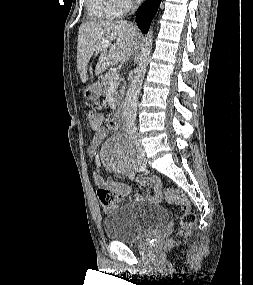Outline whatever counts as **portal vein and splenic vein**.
<instances>
[{"instance_id": "18ae733b", "label": "portal vein and splenic vein", "mask_w": 253, "mask_h": 285, "mask_svg": "<svg viewBox=\"0 0 253 285\" xmlns=\"http://www.w3.org/2000/svg\"><path fill=\"white\" fill-rule=\"evenodd\" d=\"M109 45H102V46H99L97 49L98 50H102L104 48H108ZM119 74L118 73H115L109 80V83L111 86H116L118 83H119Z\"/></svg>"}]
</instances>
